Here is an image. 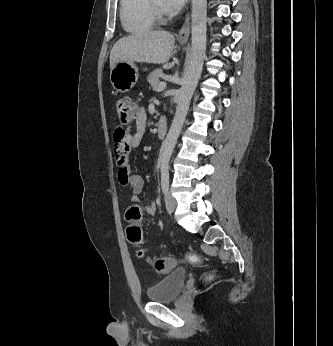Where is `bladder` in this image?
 <instances>
[{
	"label": "bladder",
	"instance_id": "bladder-1",
	"mask_svg": "<svg viewBox=\"0 0 333 346\" xmlns=\"http://www.w3.org/2000/svg\"><path fill=\"white\" fill-rule=\"evenodd\" d=\"M186 280V270L175 269L148 288V299L153 303H166L173 301L181 293Z\"/></svg>",
	"mask_w": 333,
	"mask_h": 346
}]
</instances>
